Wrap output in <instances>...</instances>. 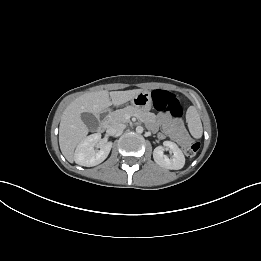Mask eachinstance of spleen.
Listing matches in <instances>:
<instances>
[{"label": "spleen", "mask_w": 261, "mask_h": 261, "mask_svg": "<svg viewBox=\"0 0 261 261\" xmlns=\"http://www.w3.org/2000/svg\"><path fill=\"white\" fill-rule=\"evenodd\" d=\"M194 123H195L196 129H195V132L193 134L196 138H199L202 135V126H201L200 119L198 117H195Z\"/></svg>", "instance_id": "3e777b00"}]
</instances>
